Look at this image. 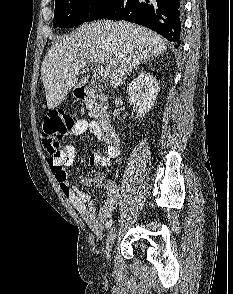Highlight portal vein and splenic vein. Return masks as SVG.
<instances>
[{
  "mask_svg": "<svg viewBox=\"0 0 233 294\" xmlns=\"http://www.w3.org/2000/svg\"><path fill=\"white\" fill-rule=\"evenodd\" d=\"M85 66L86 62L82 61L76 65L75 70L79 71L83 69ZM96 68L98 70L99 75L103 78L107 77L111 72V69L109 67L104 68L102 65H96Z\"/></svg>",
  "mask_w": 233,
  "mask_h": 294,
  "instance_id": "1",
  "label": "portal vein and splenic vein"
}]
</instances>
